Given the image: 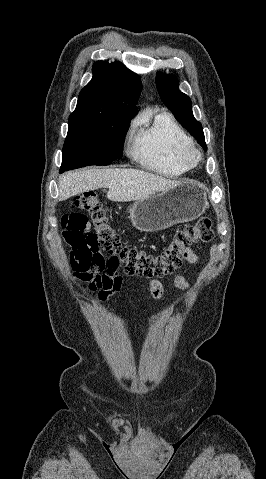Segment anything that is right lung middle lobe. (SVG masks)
Listing matches in <instances>:
<instances>
[{
	"label": "right lung middle lobe",
	"mask_w": 266,
	"mask_h": 479,
	"mask_svg": "<svg viewBox=\"0 0 266 479\" xmlns=\"http://www.w3.org/2000/svg\"><path fill=\"white\" fill-rule=\"evenodd\" d=\"M130 119L75 117L63 146L60 173L89 165H109L122 157Z\"/></svg>",
	"instance_id": "dd1d6c3e"
}]
</instances>
